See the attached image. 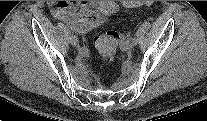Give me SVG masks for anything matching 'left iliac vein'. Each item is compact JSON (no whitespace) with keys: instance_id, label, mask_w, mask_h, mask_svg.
<instances>
[{"instance_id":"4c4485c4","label":"left iliac vein","mask_w":207,"mask_h":121,"mask_svg":"<svg viewBox=\"0 0 207 121\" xmlns=\"http://www.w3.org/2000/svg\"><path fill=\"white\" fill-rule=\"evenodd\" d=\"M133 43H129V42H127V43H125V45H124V49H126V50H130L132 47H133Z\"/></svg>"}]
</instances>
